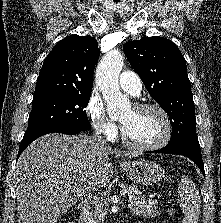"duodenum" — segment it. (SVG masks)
Segmentation results:
<instances>
[{
  "label": "duodenum",
  "mask_w": 221,
  "mask_h": 223,
  "mask_svg": "<svg viewBox=\"0 0 221 223\" xmlns=\"http://www.w3.org/2000/svg\"><path fill=\"white\" fill-rule=\"evenodd\" d=\"M87 212H88V205L84 202H81L77 208V213H78L80 221L82 222L84 221V217L87 214Z\"/></svg>",
  "instance_id": "410a0bca"
}]
</instances>
